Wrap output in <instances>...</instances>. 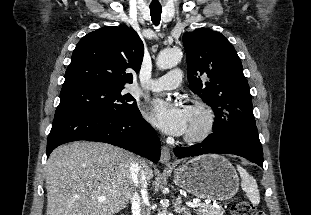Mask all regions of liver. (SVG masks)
Returning <instances> with one entry per match:
<instances>
[{
    "label": "liver",
    "mask_w": 311,
    "mask_h": 215,
    "mask_svg": "<svg viewBox=\"0 0 311 215\" xmlns=\"http://www.w3.org/2000/svg\"><path fill=\"white\" fill-rule=\"evenodd\" d=\"M136 157L118 147L76 141L56 148L46 163V215H113L133 194L130 166ZM146 180L153 171L141 161ZM105 196V201L99 197Z\"/></svg>",
    "instance_id": "liver-1"
}]
</instances>
